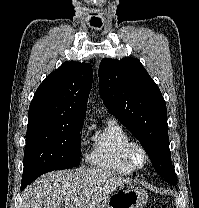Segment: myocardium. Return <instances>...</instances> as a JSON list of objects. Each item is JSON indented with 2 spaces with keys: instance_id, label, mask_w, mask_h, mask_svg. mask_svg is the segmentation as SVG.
Instances as JSON below:
<instances>
[{
  "instance_id": "1",
  "label": "myocardium",
  "mask_w": 199,
  "mask_h": 208,
  "mask_svg": "<svg viewBox=\"0 0 199 208\" xmlns=\"http://www.w3.org/2000/svg\"><path fill=\"white\" fill-rule=\"evenodd\" d=\"M135 149H139L143 155V161L137 162L134 159L133 151ZM124 158L127 164L133 169V170H139L144 168L148 162H149V154L146 149V147L139 141H129L127 145L124 148Z\"/></svg>"
}]
</instances>
